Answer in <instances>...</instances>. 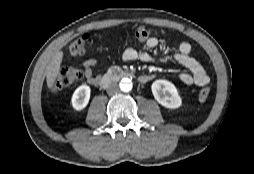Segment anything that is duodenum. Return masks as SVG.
Instances as JSON below:
<instances>
[{
  "label": "duodenum",
  "mask_w": 254,
  "mask_h": 174,
  "mask_svg": "<svg viewBox=\"0 0 254 174\" xmlns=\"http://www.w3.org/2000/svg\"><path fill=\"white\" fill-rule=\"evenodd\" d=\"M131 76L132 74L128 71L122 70L120 68H112L101 77L99 85L102 87H107L114 81L130 78Z\"/></svg>",
  "instance_id": "410a0bca"
}]
</instances>
